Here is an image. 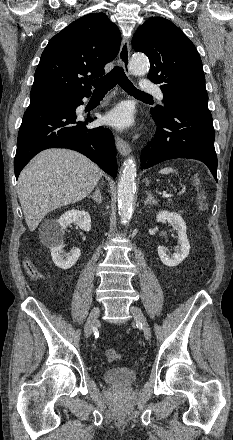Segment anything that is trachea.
Returning <instances> with one entry per match:
<instances>
[{
	"instance_id": "3493384b",
	"label": "trachea",
	"mask_w": 233,
	"mask_h": 440,
	"mask_svg": "<svg viewBox=\"0 0 233 440\" xmlns=\"http://www.w3.org/2000/svg\"><path fill=\"white\" fill-rule=\"evenodd\" d=\"M90 84L95 87V91L97 92H107L119 84L124 91L131 95L139 97H152L150 94L138 90L128 79L124 69L119 66H115L108 74L99 79L91 81Z\"/></svg>"
}]
</instances>
